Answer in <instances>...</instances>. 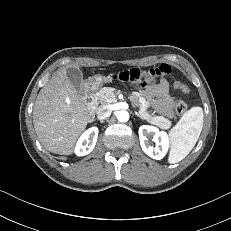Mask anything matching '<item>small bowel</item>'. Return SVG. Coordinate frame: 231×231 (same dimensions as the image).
Wrapping results in <instances>:
<instances>
[{
  "label": "small bowel",
  "instance_id": "obj_1",
  "mask_svg": "<svg viewBox=\"0 0 231 231\" xmlns=\"http://www.w3.org/2000/svg\"><path fill=\"white\" fill-rule=\"evenodd\" d=\"M174 88L184 94L188 93V87L180 81H175L172 85L167 80L149 85L144 95L149 99L153 107L161 114L171 117L173 114L174 101L170 94V89Z\"/></svg>",
  "mask_w": 231,
  "mask_h": 231
}]
</instances>
